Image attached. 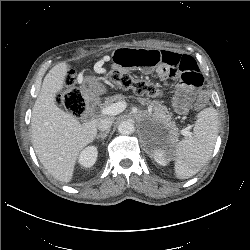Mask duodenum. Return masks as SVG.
Here are the masks:
<instances>
[{
	"label": "duodenum",
	"mask_w": 250,
	"mask_h": 250,
	"mask_svg": "<svg viewBox=\"0 0 250 250\" xmlns=\"http://www.w3.org/2000/svg\"><path fill=\"white\" fill-rule=\"evenodd\" d=\"M96 100L92 97L87 98L85 101V112L84 113H90L92 110L96 107Z\"/></svg>",
	"instance_id": "1"
}]
</instances>
